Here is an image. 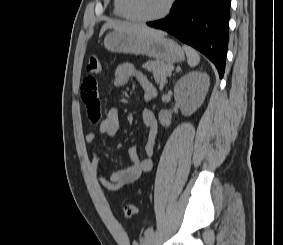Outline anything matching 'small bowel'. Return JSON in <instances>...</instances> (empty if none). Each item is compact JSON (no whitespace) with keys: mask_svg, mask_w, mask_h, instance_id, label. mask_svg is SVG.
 <instances>
[{"mask_svg":"<svg viewBox=\"0 0 283 245\" xmlns=\"http://www.w3.org/2000/svg\"><path fill=\"white\" fill-rule=\"evenodd\" d=\"M135 79L143 91V100L148 102L156 95V89L148 77L130 63L119 64L114 73V83L117 87L126 85L130 79ZM81 99L87 111L88 118L93 123L99 124V131L108 136H115L120 129L119 113L117 108L110 107L101 117V103L99 99L98 81L92 76L84 78L81 84ZM142 122L146 131V141L143 146L144 157L140 158L136 146L128 149V156L132 163L105 177L101 172V155L93 153L90 163L92 178L109 190H119L134 183L143 172L152 169L154 165V147L158 132V124L154 113L145 108L142 111ZM97 135L90 132L86 135V142L93 143Z\"/></svg>","mask_w":283,"mask_h":245,"instance_id":"small-bowel-1","label":"small bowel"}]
</instances>
